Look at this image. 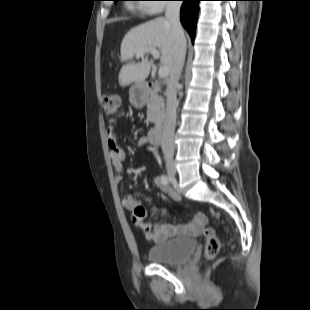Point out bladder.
Returning <instances> with one entry per match:
<instances>
[{
	"mask_svg": "<svg viewBox=\"0 0 310 310\" xmlns=\"http://www.w3.org/2000/svg\"><path fill=\"white\" fill-rule=\"evenodd\" d=\"M196 241L192 238H171L147 251L151 263L179 265L188 261L196 250Z\"/></svg>",
	"mask_w": 310,
	"mask_h": 310,
	"instance_id": "1",
	"label": "bladder"
}]
</instances>
